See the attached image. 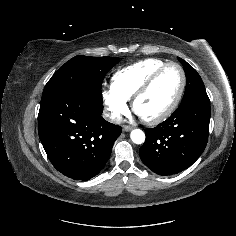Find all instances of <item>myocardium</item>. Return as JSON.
<instances>
[{
	"label": "myocardium",
	"instance_id": "f54148a6",
	"mask_svg": "<svg viewBox=\"0 0 236 236\" xmlns=\"http://www.w3.org/2000/svg\"><path fill=\"white\" fill-rule=\"evenodd\" d=\"M176 67L181 75V84H180V89L175 97V99L172 101V103L159 115H157L154 118H143L140 117L136 113V103L137 101L145 95L152 85L156 82V80L162 75V73L168 69L169 67ZM186 83H187V78H186V73L183 67L176 63V62H168L161 66L159 69H157L143 84L142 86L135 92V94L132 97V102H131V107L132 110L140 117V119L148 124V125H157L165 121L168 117L172 115V113L176 110L178 107L180 101L182 100V97L184 95L185 89H186Z\"/></svg>",
	"mask_w": 236,
	"mask_h": 236
}]
</instances>
